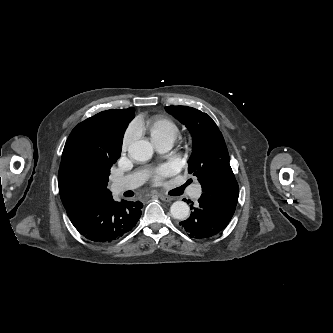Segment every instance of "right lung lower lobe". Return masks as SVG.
Returning <instances> with one entry per match:
<instances>
[{"label":"right lung lower lobe","mask_w":333,"mask_h":333,"mask_svg":"<svg viewBox=\"0 0 333 333\" xmlns=\"http://www.w3.org/2000/svg\"><path fill=\"white\" fill-rule=\"evenodd\" d=\"M143 204L139 201L115 202L111 197L83 207L67 210L77 231L90 241L112 242L129 232L138 222Z\"/></svg>","instance_id":"98d812e1"}]
</instances>
